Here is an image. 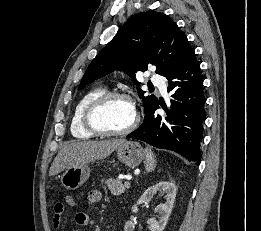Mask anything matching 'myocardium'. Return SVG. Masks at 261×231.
I'll return each instance as SVG.
<instances>
[{"label": "myocardium", "mask_w": 261, "mask_h": 231, "mask_svg": "<svg viewBox=\"0 0 261 231\" xmlns=\"http://www.w3.org/2000/svg\"><path fill=\"white\" fill-rule=\"evenodd\" d=\"M115 98H123L131 102V104L134 107V118L131 122V124L124 130L120 131H110L100 128L96 121H95V115L97 111L103 107L106 103L109 101L115 99ZM140 122V111L138 110L134 100L132 97L122 91H111V92H105L99 97H97L95 100H93L85 109L83 114V124L87 131L94 135L99 136H125L134 131L138 124Z\"/></svg>", "instance_id": "myocardium-1"}]
</instances>
